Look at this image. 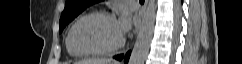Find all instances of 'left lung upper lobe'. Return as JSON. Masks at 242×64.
<instances>
[{
    "instance_id": "5c2ea615",
    "label": "left lung upper lobe",
    "mask_w": 242,
    "mask_h": 64,
    "mask_svg": "<svg viewBox=\"0 0 242 64\" xmlns=\"http://www.w3.org/2000/svg\"><path fill=\"white\" fill-rule=\"evenodd\" d=\"M102 0H66L65 9L60 18V29L62 32L65 26L76 18L87 7Z\"/></svg>"
}]
</instances>
